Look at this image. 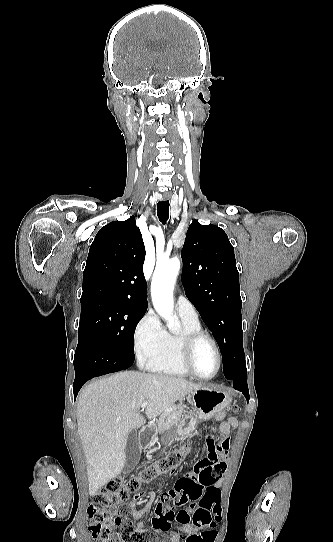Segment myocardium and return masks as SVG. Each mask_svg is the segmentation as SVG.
I'll list each match as a JSON object with an SVG mask.
<instances>
[{
  "mask_svg": "<svg viewBox=\"0 0 333 542\" xmlns=\"http://www.w3.org/2000/svg\"><path fill=\"white\" fill-rule=\"evenodd\" d=\"M202 341H207L213 347L217 357L216 371L210 376H203L197 373L192 366V356L195 347ZM180 359L184 369L193 377L199 379H213L220 371L222 366V355L217 342L205 332H193L186 334L180 344Z\"/></svg>",
  "mask_w": 333,
  "mask_h": 542,
  "instance_id": "obj_1",
  "label": "myocardium"
}]
</instances>
